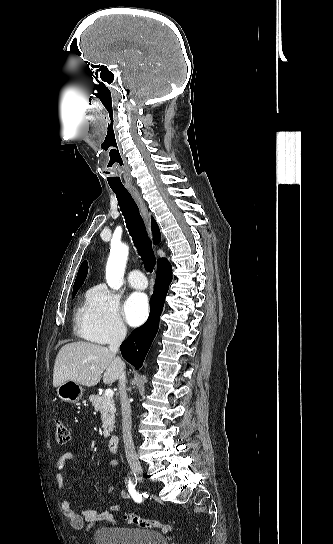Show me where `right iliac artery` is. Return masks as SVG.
I'll list each match as a JSON object with an SVG mask.
<instances>
[{
	"label": "right iliac artery",
	"mask_w": 333,
	"mask_h": 544,
	"mask_svg": "<svg viewBox=\"0 0 333 544\" xmlns=\"http://www.w3.org/2000/svg\"><path fill=\"white\" fill-rule=\"evenodd\" d=\"M128 491H129L130 495L132 496V498L136 502H141L142 501V495H140L139 493L136 492L135 484H133L131 479L128 480Z\"/></svg>",
	"instance_id": "right-iliac-artery-1"
}]
</instances>
